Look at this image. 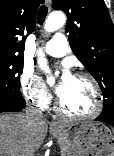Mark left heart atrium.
I'll return each instance as SVG.
<instances>
[{
  "mask_svg": "<svg viewBox=\"0 0 114 156\" xmlns=\"http://www.w3.org/2000/svg\"><path fill=\"white\" fill-rule=\"evenodd\" d=\"M72 79V76L68 70L67 64L63 65V73L55 87V92L58 94V96H60L66 85L69 83V81Z\"/></svg>",
  "mask_w": 114,
  "mask_h": 156,
  "instance_id": "left-heart-atrium-1",
  "label": "left heart atrium"
}]
</instances>
